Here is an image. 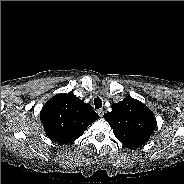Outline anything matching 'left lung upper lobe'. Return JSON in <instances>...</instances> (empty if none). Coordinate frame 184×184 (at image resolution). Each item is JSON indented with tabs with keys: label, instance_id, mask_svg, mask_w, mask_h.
<instances>
[{
	"label": "left lung upper lobe",
	"instance_id": "left-lung-upper-lobe-1",
	"mask_svg": "<svg viewBox=\"0 0 184 184\" xmlns=\"http://www.w3.org/2000/svg\"><path fill=\"white\" fill-rule=\"evenodd\" d=\"M116 138L126 147L145 144L156 127V118L142 102L126 97L112 104V111L104 114Z\"/></svg>",
	"mask_w": 184,
	"mask_h": 184
}]
</instances>
